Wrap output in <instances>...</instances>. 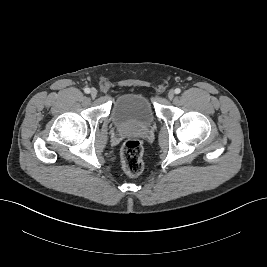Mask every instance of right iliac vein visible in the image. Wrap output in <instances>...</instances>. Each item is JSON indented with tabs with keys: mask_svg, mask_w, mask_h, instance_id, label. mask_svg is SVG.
Listing matches in <instances>:
<instances>
[{
	"mask_svg": "<svg viewBox=\"0 0 267 267\" xmlns=\"http://www.w3.org/2000/svg\"><path fill=\"white\" fill-rule=\"evenodd\" d=\"M90 94H91L92 98H95L97 96V90L96 89H92Z\"/></svg>",
	"mask_w": 267,
	"mask_h": 267,
	"instance_id": "obj_1",
	"label": "right iliac vein"
}]
</instances>
